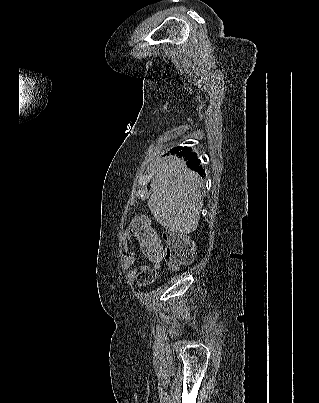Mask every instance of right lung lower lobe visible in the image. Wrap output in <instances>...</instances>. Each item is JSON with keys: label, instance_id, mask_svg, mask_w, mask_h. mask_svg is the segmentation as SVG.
Listing matches in <instances>:
<instances>
[{"label": "right lung lower lobe", "instance_id": "right-lung-lower-lobe-1", "mask_svg": "<svg viewBox=\"0 0 319 403\" xmlns=\"http://www.w3.org/2000/svg\"><path fill=\"white\" fill-rule=\"evenodd\" d=\"M179 156H183L185 160H188L187 166L193 169L194 171H199L201 176L205 175L202 167L199 166L200 162L197 159V154L191 152L190 147H175L173 148V152Z\"/></svg>", "mask_w": 319, "mask_h": 403}]
</instances>
